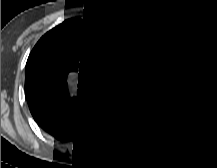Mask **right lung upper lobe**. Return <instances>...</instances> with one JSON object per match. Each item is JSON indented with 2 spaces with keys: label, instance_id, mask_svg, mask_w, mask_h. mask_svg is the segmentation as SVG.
<instances>
[{
  "label": "right lung upper lobe",
  "instance_id": "cb5924a9",
  "mask_svg": "<svg viewBox=\"0 0 217 168\" xmlns=\"http://www.w3.org/2000/svg\"><path fill=\"white\" fill-rule=\"evenodd\" d=\"M96 24L68 19L36 43L25 66V97L33 117L69 98L66 78L76 69L79 50Z\"/></svg>",
  "mask_w": 217,
  "mask_h": 168
}]
</instances>
